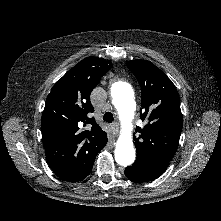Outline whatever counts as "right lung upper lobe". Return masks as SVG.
Returning <instances> with one entry per match:
<instances>
[{"instance_id":"right-lung-upper-lobe-1","label":"right lung upper lobe","mask_w":221,"mask_h":221,"mask_svg":"<svg viewBox=\"0 0 221 221\" xmlns=\"http://www.w3.org/2000/svg\"><path fill=\"white\" fill-rule=\"evenodd\" d=\"M111 67L109 60L87 57L53 86L46 99L41 120L45 154L53 172L65 181H81L107 143V134L89 118L94 112L89 97Z\"/></svg>"}]
</instances>
